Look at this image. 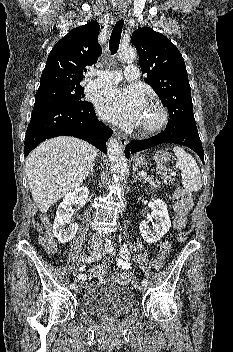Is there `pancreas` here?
Masks as SVG:
<instances>
[{
    "mask_svg": "<svg viewBox=\"0 0 233 352\" xmlns=\"http://www.w3.org/2000/svg\"><path fill=\"white\" fill-rule=\"evenodd\" d=\"M144 180H145V182H148L149 184H151V186H152L153 188H160V183H159V182H154V181L152 180V178H150V177H144Z\"/></svg>",
    "mask_w": 233,
    "mask_h": 352,
    "instance_id": "pancreas-1",
    "label": "pancreas"
}]
</instances>
